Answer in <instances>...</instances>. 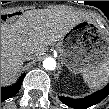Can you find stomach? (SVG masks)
<instances>
[{"label":"stomach","mask_w":109,"mask_h":109,"mask_svg":"<svg viewBox=\"0 0 109 109\" xmlns=\"http://www.w3.org/2000/svg\"><path fill=\"white\" fill-rule=\"evenodd\" d=\"M64 65L74 74L89 72L109 61L108 34L93 21L82 20L57 44Z\"/></svg>","instance_id":"1"}]
</instances>
